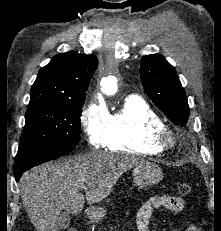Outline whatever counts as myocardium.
Here are the masks:
<instances>
[{"label": "myocardium", "instance_id": "1", "mask_svg": "<svg viewBox=\"0 0 221 231\" xmlns=\"http://www.w3.org/2000/svg\"><path fill=\"white\" fill-rule=\"evenodd\" d=\"M151 141L153 145L164 150L171 148L176 143V137L173 131L164 125L155 130Z\"/></svg>", "mask_w": 221, "mask_h": 231}]
</instances>
